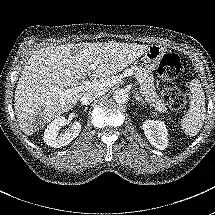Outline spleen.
Returning a JSON list of instances; mask_svg holds the SVG:
<instances>
[{"label":"spleen","mask_w":215,"mask_h":215,"mask_svg":"<svg viewBox=\"0 0 215 215\" xmlns=\"http://www.w3.org/2000/svg\"><path fill=\"white\" fill-rule=\"evenodd\" d=\"M189 97L190 104L188 112L177 125L186 136L193 137L202 128L206 115L204 91L197 80L191 82V93Z\"/></svg>","instance_id":"obj_1"}]
</instances>
